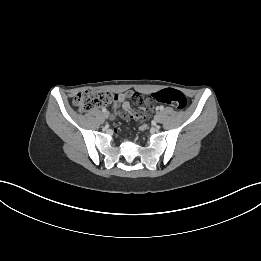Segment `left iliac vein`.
Segmentation results:
<instances>
[{"label":"left iliac vein","instance_id":"obj_1","mask_svg":"<svg viewBox=\"0 0 261 261\" xmlns=\"http://www.w3.org/2000/svg\"><path fill=\"white\" fill-rule=\"evenodd\" d=\"M155 122L160 123L162 120V116L160 113H157L154 117Z\"/></svg>","mask_w":261,"mask_h":261}]
</instances>
